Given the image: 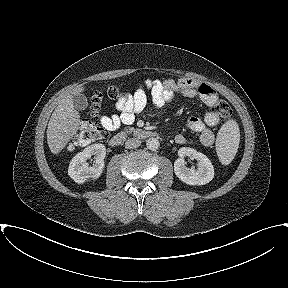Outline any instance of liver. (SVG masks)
Listing matches in <instances>:
<instances>
[{"instance_id":"6515ba94","label":"liver","mask_w":288,"mask_h":288,"mask_svg":"<svg viewBox=\"0 0 288 288\" xmlns=\"http://www.w3.org/2000/svg\"><path fill=\"white\" fill-rule=\"evenodd\" d=\"M84 87L79 86L74 94L80 93ZM80 114L74 108L72 95L63 98L54 112L47 127V143L53 154H58L77 133L80 125Z\"/></svg>"}]
</instances>
